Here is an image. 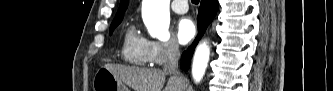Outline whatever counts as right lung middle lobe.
<instances>
[{"label": "right lung middle lobe", "instance_id": "right-lung-middle-lobe-1", "mask_svg": "<svg viewBox=\"0 0 333 91\" xmlns=\"http://www.w3.org/2000/svg\"><path fill=\"white\" fill-rule=\"evenodd\" d=\"M123 18L114 19L110 26V34H112L113 30L120 24Z\"/></svg>", "mask_w": 333, "mask_h": 91}]
</instances>
